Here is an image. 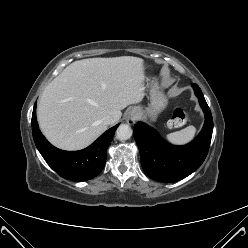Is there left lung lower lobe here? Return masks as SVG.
Instances as JSON below:
<instances>
[{
    "instance_id": "0a47b994",
    "label": "left lung lower lobe",
    "mask_w": 248,
    "mask_h": 248,
    "mask_svg": "<svg viewBox=\"0 0 248 248\" xmlns=\"http://www.w3.org/2000/svg\"><path fill=\"white\" fill-rule=\"evenodd\" d=\"M192 86L205 114V123L199 135L191 143L174 146L167 143L145 123L138 122L134 126V138L140 150L142 167L155 181H179L198 169L207 156L213 119L201 89L196 84Z\"/></svg>"
}]
</instances>
